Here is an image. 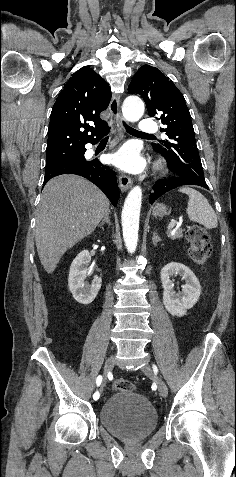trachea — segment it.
<instances>
[{"mask_svg":"<svg viewBox=\"0 0 236 477\" xmlns=\"http://www.w3.org/2000/svg\"><path fill=\"white\" fill-rule=\"evenodd\" d=\"M123 125H124L125 129L127 130V132L130 133V134H140V135L146 134V133H142V132L128 126L125 122H123Z\"/></svg>","mask_w":236,"mask_h":477,"instance_id":"trachea-1","label":"trachea"}]
</instances>
